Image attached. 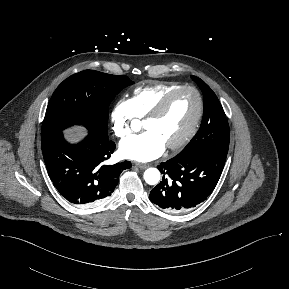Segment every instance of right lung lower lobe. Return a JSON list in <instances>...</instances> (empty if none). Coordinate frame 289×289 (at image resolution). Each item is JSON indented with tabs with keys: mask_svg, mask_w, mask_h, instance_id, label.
I'll list each match as a JSON object with an SVG mask.
<instances>
[{
	"mask_svg": "<svg viewBox=\"0 0 289 289\" xmlns=\"http://www.w3.org/2000/svg\"><path fill=\"white\" fill-rule=\"evenodd\" d=\"M48 174L59 193L73 204H97L110 196L129 161L107 165L116 145L109 139L88 135L77 144L62 134L41 139Z\"/></svg>",
	"mask_w": 289,
	"mask_h": 289,
	"instance_id": "98d812e1",
	"label": "right lung lower lobe"
}]
</instances>
